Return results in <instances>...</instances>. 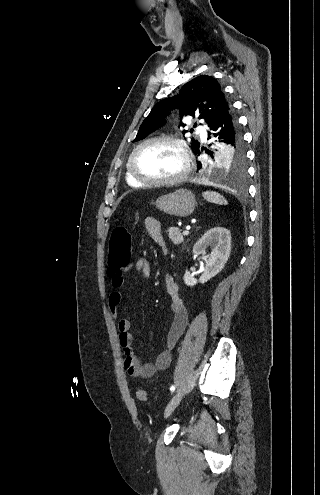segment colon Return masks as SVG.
I'll use <instances>...</instances> for the list:
<instances>
[{"instance_id":"obj_1","label":"colon","mask_w":320,"mask_h":495,"mask_svg":"<svg viewBox=\"0 0 320 495\" xmlns=\"http://www.w3.org/2000/svg\"><path fill=\"white\" fill-rule=\"evenodd\" d=\"M132 236L124 226H116L110 235L108 245V262L111 272H120L131 260ZM136 397L141 402H148L145 389L139 388Z\"/></svg>"}]
</instances>
